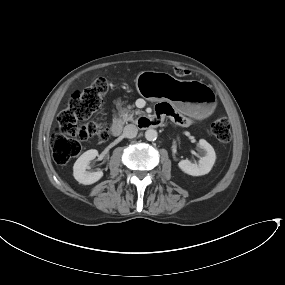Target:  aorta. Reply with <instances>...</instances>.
<instances>
[{
	"mask_svg": "<svg viewBox=\"0 0 285 285\" xmlns=\"http://www.w3.org/2000/svg\"><path fill=\"white\" fill-rule=\"evenodd\" d=\"M158 133L154 129H147L145 131V138L148 141H155L157 139Z\"/></svg>",
	"mask_w": 285,
	"mask_h": 285,
	"instance_id": "1",
	"label": "aorta"
}]
</instances>
